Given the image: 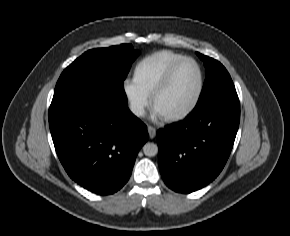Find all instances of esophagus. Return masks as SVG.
<instances>
[{
  "instance_id": "34e87169",
  "label": "esophagus",
  "mask_w": 290,
  "mask_h": 236,
  "mask_svg": "<svg viewBox=\"0 0 290 236\" xmlns=\"http://www.w3.org/2000/svg\"><path fill=\"white\" fill-rule=\"evenodd\" d=\"M148 133L150 138H154L156 135V129L152 126H148Z\"/></svg>"
}]
</instances>
